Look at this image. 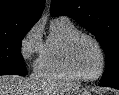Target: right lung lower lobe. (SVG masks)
Returning a JSON list of instances; mask_svg holds the SVG:
<instances>
[{
    "label": "right lung lower lobe",
    "mask_w": 119,
    "mask_h": 95,
    "mask_svg": "<svg viewBox=\"0 0 119 95\" xmlns=\"http://www.w3.org/2000/svg\"><path fill=\"white\" fill-rule=\"evenodd\" d=\"M7 73H0V75H6Z\"/></svg>",
    "instance_id": "right-lung-lower-lobe-1"
}]
</instances>
